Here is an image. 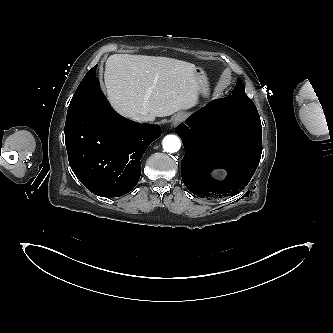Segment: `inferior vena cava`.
Segmentation results:
<instances>
[{"instance_id": "1", "label": "inferior vena cava", "mask_w": 333, "mask_h": 333, "mask_svg": "<svg viewBox=\"0 0 333 333\" xmlns=\"http://www.w3.org/2000/svg\"><path fill=\"white\" fill-rule=\"evenodd\" d=\"M133 120L138 121V122H147L149 121V117L147 115H137L133 117Z\"/></svg>"}]
</instances>
